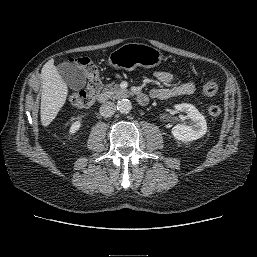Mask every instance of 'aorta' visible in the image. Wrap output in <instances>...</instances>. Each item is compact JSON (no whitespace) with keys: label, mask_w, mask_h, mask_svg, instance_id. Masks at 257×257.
Masks as SVG:
<instances>
[{"label":"aorta","mask_w":257,"mask_h":257,"mask_svg":"<svg viewBox=\"0 0 257 257\" xmlns=\"http://www.w3.org/2000/svg\"><path fill=\"white\" fill-rule=\"evenodd\" d=\"M132 109V103L128 99H121L117 102V110L120 113H129Z\"/></svg>","instance_id":"aorta-1"}]
</instances>
